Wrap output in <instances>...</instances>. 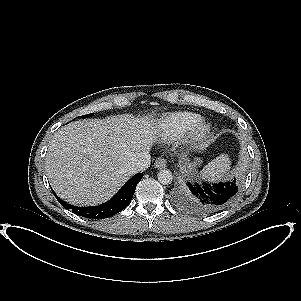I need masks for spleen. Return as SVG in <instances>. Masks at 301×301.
I'll return each mask as SVG.
<instances>
[{
    "instance_id": "obj_1",
    "label": "spleen",
    "mask_w": 301,
    "mask_h": 301,
    "mask_svg": "<svg viewBox=\"0 0 301 301\" xmlns=\"http://www.w3.org/2000/svg\"><path fill=\"white\" fill-rule=\"evenodd\" d=\"M231 161L227 154H221L216 159L208 163L201 174L204 178L216 182L220 181L228 175V170L230 169Z\"/></svg>"
}]
</instances>
